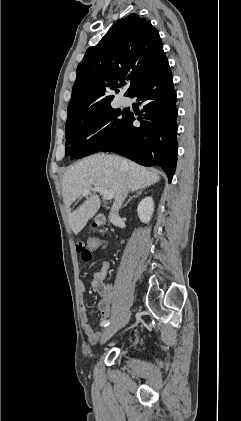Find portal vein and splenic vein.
Segmentation results:
<instances>
[{"label":"portal vein and splenic vein","mask_w":241,"mask_h":421,"mask_svg":"<svg viewBox=\"0 0 241 421\" xmlns=\"http://www.w3.org/2000/svg\"><path fill=\"white\" fill-rule=\"evenodd\" d=\"M90 191L98 192L100 195L103 196L105 200H111L114 197L113 191L107 190L106 188L100 187V186H95L89 189H85L83 190L82 194L86 196L89 194Z\"/></svg>","instance_id":"18ae733b"}]
</instances>
